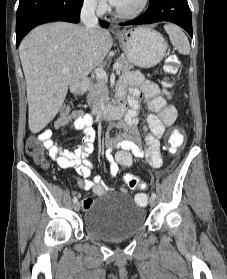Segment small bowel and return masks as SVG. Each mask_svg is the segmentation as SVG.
I'll return each instance as SVG.
<instances>
[{
    "mask_svg": "<svg viewBox=\"0 0 227 279\" xmlns=\"http://www.w3.org/2000/svg\"><path fill=\"white\" fill-rule=\"evenodd\" d=\"M117 95L121 101L128 98L130 110L120 123V131L114 137L107 139L108 149L106 159L110 164V174L115 176L118 170L131 166L133 157L144 158L154 167H160L163 163L160 153V139L167 128L172 126L177 118V110L165 98L164 93L157 84L144 80L140 74H125L117 86ZM145 98L150 111L142 126V134L138 129L139 97ZM73 121V128L83 130L80 144L68 149H61L52 139L53 129L61 130ZM93 119L82 110L72 111L70 114L59 116L53 121V129L46 128L38 137L31 140L43 142L48 155L54 159L61 168H73L79 175L78 186L83 190L92 189L95 194L102 195L106 191V185L101 177L91 178L94 164L91 155L94 149L96 132L93 128ZM111 127L106 129L107 132ZM142 141L146 145L145 152L140 150ZM94 200L86 198L82 201L84 209L92 207Z\"/></svg>",
    "mask_w": 227,
    "mask_h": 279,
    "instance_id": "obj_1",
    "label": "small bowel"
}]
</instances>
